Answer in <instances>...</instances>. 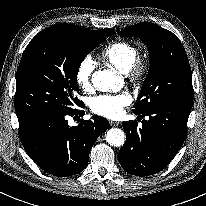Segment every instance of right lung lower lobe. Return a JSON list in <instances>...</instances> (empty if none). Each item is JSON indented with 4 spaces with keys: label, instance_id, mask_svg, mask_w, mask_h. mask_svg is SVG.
Segmentation results:
<instances>
[{
    "label": "right lung lower lobe",
    "instance_id": "right-lung-lower-lobe-1",
    "mask_svg": "<svg viewBox=\"0 0 206 206\" xmlns=\"http://www.w3.org/2000/svg\"><path fill=\"white\" fill-rule=\"evenodd\" d=\"M68 115L83 116L84 111L74 109L65 115L41 117L19 125L22 145L31 159L45 172L59 177L83 171L92 146L109 127V122L98 116L70 127Z\"/></svg>",
    "mask_w": 206,
    "mask_h": 206
}]
</instances>
